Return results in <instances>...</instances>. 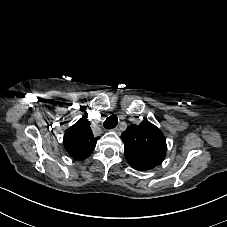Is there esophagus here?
Returning a JSON list of instances; mask_svg holds the SVG:
<instances>
[{"mask_svg": "<svg viewBox=\"0 0 227 227\" xmlns=\"http://www.w3.org/2000/svg\"><path fill=\"white\" fill-rule=\"evenodd\" d=\"M113 131H114L116 134H118L119 136L121 135V131H120V129L115 128V129H113Z\"/></svg>", "mask_w": 227, "mask_h": 227, "instance_id": "esophagus-1", "label": "esophagus"}]
</instances>
